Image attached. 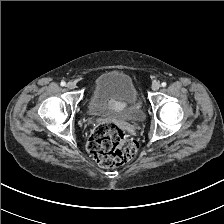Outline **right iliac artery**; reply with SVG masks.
Here are the masks:
<instances>
[{
    "mask_svg": "<svg viewBox=\"0 0 224 224\" xmlns=\"http://www.w3.org/2000/svg\"><path fill=\"white\" fill-rule=\"evenodd\" d=\"M60 85H61V86H65L66 83H65L64 81H61Z\"/></svg>",
    "mask_w": 224,
    "mask_h": 224,
    "instance_id": "obj_1",
    "label": "right iliac artery"
}]
</instances>
